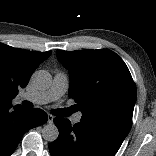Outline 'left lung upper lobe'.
Wrapping results in <instances>:
<instances>
[{"instance_id":"obj_1","label":"left lung upper lobe","mask_w":156,"mask_h":156,"mask_svg":"<svg viewBox=\"0 0 156 156\" xmlns=\"http://www.w3.org/2000/svg\"><path fill=\"white\" fill-rule=\"evenodd\" d=\"M59 61L68 69V96L82 111L81 121L106 124L128 134L137 92L123 60L113 51H56Z\"/></svg>"}]
</instances>
